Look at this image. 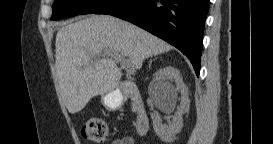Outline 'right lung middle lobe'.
Segmentation results:
<instances>
[{
  "label": "right lung middle lobe",
  "mask_w": 273,
  "mask_h": 144,
  "mask_svg": "<svg viewBox=\"0 0 273 144\" xmlns=\"http://www.w3.org/2000/svg\"><path fill=\"white\" fill-rule=\"evenodd\" d=\"M109 0H55L51 19L71 17L78 14H91Z\"/></svg>",
  "instance_id": "dd1d6c3e"
}]
</instances>
